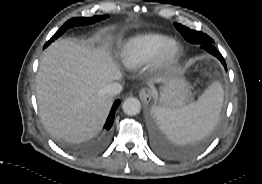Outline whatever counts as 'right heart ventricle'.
Instances as JSON below:
<instances>
[{
  "label": "right heart ventricle",
  "instance_id": "obj_1",
  "mask_svg": "<svg viewBox=\"0 0 262 184\" xmlns=\"http://www.w3.org/2000/svg\"><path fill=\"white\" fill-rule=\"evenodd\" d=\"M171 38L161 33H144L130 38L122 47L120 58L129 69L138 68L155 59Z\"/></svg>",
  "mask_w": 262,
  "mask_h": 184
}]
</instances>
